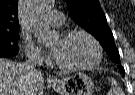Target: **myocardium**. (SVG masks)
Segmentation results:
<instances>
[{"label":"myocardium","instance_id":"obj_1","mask_svg":"<svg viewBox=\"0 0 135 95\" xmlns=\"http://www.w3.org/2000/svg\"><path fill=\"white\" fill-rule=\"evenodd\" d=\"M76 35H83L92 42V44L94 45V47L96 49V53H97L96 58L90 63L81 64V65H67V64L60 62L58 59H55L57 66L61 69L70 70V71L86 70V69L94 68L103 59V49H102L100 42L90 32L81 30V29H73V30L64 32L62 34V37L69 38V37L76 36Z\"/></svg>","mask_w":135,"mask_h":95}]
</instances>
